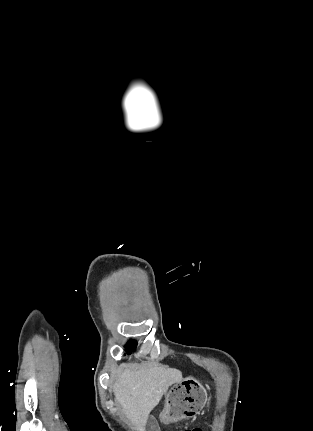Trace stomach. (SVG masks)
Returning a JSON list of instances; mask_svg holds the SVG:
<instances>
[{
	"mask_svg": "<svg viewBox=\"0 0 313 431\" xmlns=\"http://www.w3.org/2000/svg\"><path fill=\"white\" fill-rule=\"evenodd\" d=\"M207 402V392L196 379L188 377L174 383L165 395L160 418L165 423L195 417Z\"/></svg>",
	"mask_w": 313,
	"mask_h": 431,
	"instance_id": "1",
	"label": "stomach"
}]
</instances>
